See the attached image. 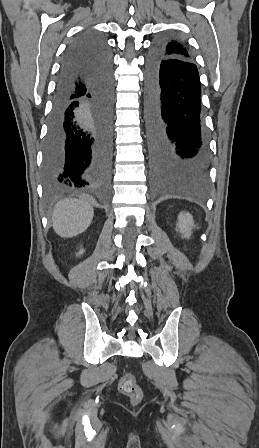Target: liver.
<instances>
[{"instance_id":"1","label":"liver","mask_w":259,"mask_h":448,"mask_svg":"<svg viewBox=\"0 0 259 448\" xmlns=\"http://www.w3.org/2000/svg\"><path fill=\"white\" fill-rule=\"evenodd\" d=\"M94 216V210L88 202L82 200H63L53 212V228L62 238H73L87 230Z\"/></svg>"}]
</instances>
